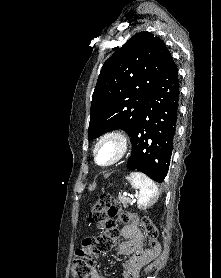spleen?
<instances>
[{
    "instance_id": "obj_1",
    "label": "spleen",
    "mask_w": 221,
    "mask_h": 278,
    "mask_svg": "<svg viewBox=\"0 0 221 278\" xmlns=\"http://www.w3.org/2000/svg\"><path fill=\"white\" fill-rule=\"evenodd\" d=\"M126 178L133 188L139 189L137 204L140 209H146L157 202L158 187L149 177L140 172H132Z\"/></svg>"
}]
</instances>
